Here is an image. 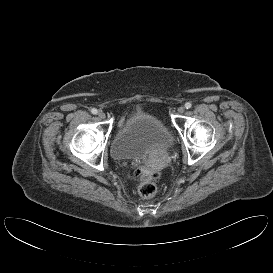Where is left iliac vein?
I'll return each instance as SVG.
<instances>
[{
	"label": "left iliac vein",
	"instance_id": "left-iliac-vein-1",
	"mask_svg": "<svg viewBox=\"0 0 273 273\" xmlns=\"http://www.w3.org/2000/svg\"><path fill=\"white\" fill-rule=\"evenodd\" d=\"M184 111H185L184 106H180V107L178 108V113L182 114V113H184Z\"/></svg>",
	"mask_w": 273,
	"mask_h": 273
}]
</instances>
